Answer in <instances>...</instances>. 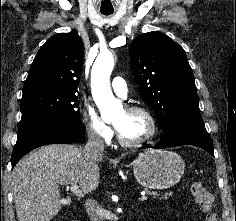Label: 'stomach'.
<instances>
[{
    "label": "stomach",
    "instance_id": "0dacf381",
    "mask_svg": "<svg viewBox=\"0 0 236 221\" xmlns=\"http://www.w3.org/2000/svg\"><path fill=\"white\" fill-rule=\"evenodd\" d=\"M182 158L167 150H147L133 161L136 180L145 188L167 189L178 183L184 173Z\"/></svg>",
    "mask_w": 236,
    "mask_h": 221
}]
</instances>
